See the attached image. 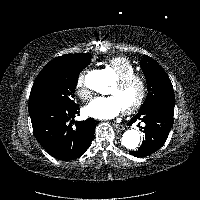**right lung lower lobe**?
Listing matches in <instances>:
<instances>
[{
    "mask_svg": "<svg viewBox=\"0 0 200 200\" xmlns=\"http://www.w3.org/2000/svg\"><path fill=\"white\" fill-rule=\"evenodd\" d=\"M79 106H54L29 111L34 135L42 147L59 160H73L82 156L91 144L96 121L88 118L76 121Z\"/></svg>",
    "mask_w": 200,
    "mask_h": 200,
    "instance_id": "obj_1",
    "label": "right lung lower lobe"
}]
</instances>
